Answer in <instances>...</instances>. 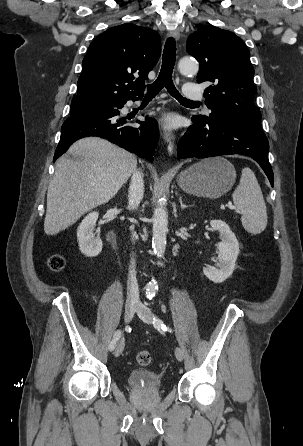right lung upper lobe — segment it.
<instances>
[{"mask_svg": "<svg viewBox=\"0 0 303 446\" xmlns=\"http://www.w3.org/2000/svg\"><path fill=\"white\" fill-rule=\"evenodd\" d=\"M160 53V36L152 29L126 23L106 30L90 44L83 59L74 101L93 110L142 96L144 80Z\"/></svg>", "mask_w": 303, "mask_h": 446, "instance_id": "right-lung-upper-lobe-1", "label": "right lung upper lobe"}]
</instances>
